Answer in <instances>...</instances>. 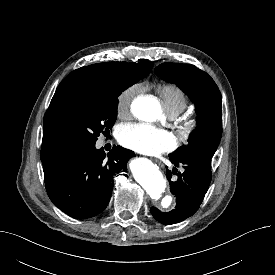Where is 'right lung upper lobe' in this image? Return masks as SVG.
<instances>
[{
    "instance_id": "right-lung-upper-lobe-1",
    "label": "right lung upper lobe",
    "mask_w": 275,
    "mask_h": 275,
    "mask_svg": "<svg viewBox=\"0 0 275 275\" xmlns=\"http://www.w3.org/2000/svg\"><path fill=\"white\" fill-rule=\"evenodd\" d=\"M152 66L153 63L148 60L139 63L105 62L84 66L74 70L62 80L54 97L65 92L93 88H111L115 86H127L128 88L133 80L146 77ZM65 151L67 150L56 135L44 124L40 152L42 163L53 160Z\"/></svg>"
}]
</instances>
